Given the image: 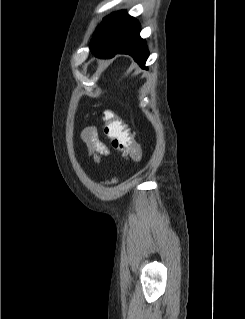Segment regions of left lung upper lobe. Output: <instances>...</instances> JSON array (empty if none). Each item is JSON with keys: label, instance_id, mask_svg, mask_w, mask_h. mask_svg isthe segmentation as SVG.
Here are the masks:
<instances>
[{"label": "left lung upper lobe", "instance_id": "left-lung-upper-lobe-1", "mask_svg": "<svg viewBox=\"0 0 245 319\" xmlns=\"http://www.w3.org/2000/svg\"><path fill=\"white\" fill-rule=\"evenodd\" d=\"M132 18L124 10L105 17L104 22L94 34L90 49L113 47Z\"/></svg>", "mask_w": 245, "mask_h": 319}]
</instances>
